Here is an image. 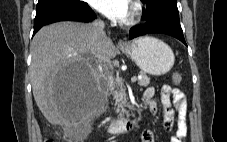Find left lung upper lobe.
<instances>
[{"mask_svg":"<svg viewBox=\"0 0 227 142\" xmlns=\"http://www.w3.org/2000/svg\"><path fill=\"white\" fill-rule=\"evenodd\" d=\"M147 5V9L143 10L142 17L148 18L156 13H165L179 17L177 8V0H141Z\"/></svg>","mask_w":227,"mask_h":142,"instance_id":"left-lung-upper-lobe-1","label":"left lung upper lobe"}]
</instances>
